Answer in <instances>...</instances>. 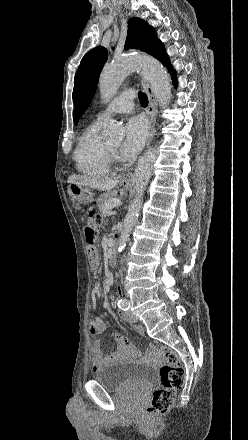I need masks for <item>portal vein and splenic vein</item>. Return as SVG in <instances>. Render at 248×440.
Listing matches in <instances>:
<instances>
[{
  "label": "portal vein and splenic vein",
  "mask_w": 248,
  "mask_h": 440,
  "mask_svg": "<svg viewBox=\"0 0 248 440\" xmlns=\"http://www.w3.org/2000/svg\"><path fill=\"white\" fill-rule=\"evenodd\" d=\"M122 203L119 199L113 198L109 201V203L106 206V211L111 210L114 207L120 206Z\"/></svg>",
  "instance_id": "18ae733b"
}]
</instances>
